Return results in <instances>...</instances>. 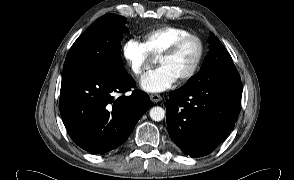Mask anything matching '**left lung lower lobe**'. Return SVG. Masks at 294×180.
Here are the masks:
<instances>
[{
    "mask_svg": "<svg viewBox=\"0 0 294 180\" xmlns=\"http://www.w3.org/2000/svg\"><path fill=\"white\" fill-rule=\"evenodd\" d=\"M241 96V81L231 80L172 91L166 101L171 139L191 157L210 154L233 129Z\"/></svg>",
    "mask_w": 294,
    "mask_h": 180,
    "instance_id": "obj_1",
    "label": "left lung lower lobe"
}]
</instances>
